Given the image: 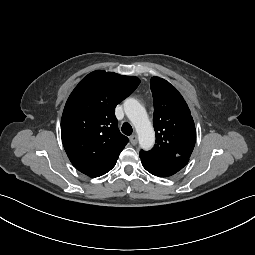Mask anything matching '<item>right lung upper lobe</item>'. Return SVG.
<instances>
[{"label": "right lung upper lobe", "instance_id": "cb5924a9", "mask_svg": "<svg viewBox=\"0 0 255 255\" xmlns=\"http://www.w3.org/2000/svg\"><path fill=\"white\" fill-rule=\"evenodd\" d=\"M135 76L94 71L70 94L61 119L64 149L73 166L89 177H99L116 164L129 139L117 127V104L139 85Z\"/></svg>", "mask_w": 255, "mask_h": 255}]
</instances>
